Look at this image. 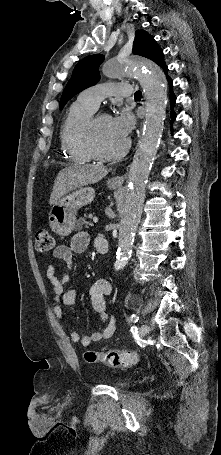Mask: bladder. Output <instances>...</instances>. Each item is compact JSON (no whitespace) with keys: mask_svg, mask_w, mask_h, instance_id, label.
<instances>
[{"mask_svg":"<svg viewBox=\"0 0 221 455\" xmlns=\"http://www.w3.org/2000/svg\"><path fill=\"white\" fill-rule=\"evenodd\" d=\"M124 384V381L123 380H120L118 383H117V386H122Z\"/></svg>","mask_w":221,"mask_h":455,"instance_id":"31cf9c89","label":"bladder"}]
</instances>
